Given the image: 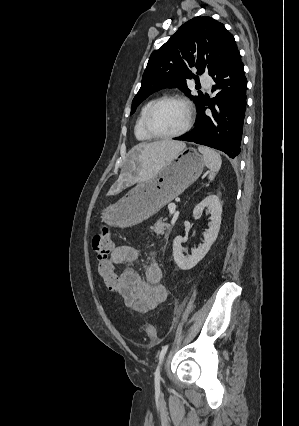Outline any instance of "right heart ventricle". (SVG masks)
<instances>
[{
  "label": "right heart ventricle",
  "instance_id": "e07e8e85",
  "mask_svg": "<svg viewBox=\"0 0 299 426\" xmlns=\"http://www.w3.org/2000/svg\"><path fill=\"white\" fill-rule=\"evenodd\" d=\"M157 98H151L148 101H146L143 106L140 109V112L138 114L136 123H135V127H134V134L135 137L139 140V141H149L152 139V137L150 135L147 134V132L144 129V117L145 114L148 110V108L150 107V105L156 100Z\"/></svg>",
  "mask_w": 299,
  "mask_h": 426
}]
</instances>
